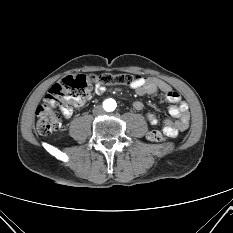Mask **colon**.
Returning a JSON list of instances; mask_svg holds the SVG:
<instances>
[{
    "label": "colon",
    "mask_w": 233,
    "mask_h": 233,
    "mask_svg": "<svg viewBox=\"0 0 233 233\" xmlns=\"http://www.w3.org/2000/svg\"><path fill=\"white\" fill-rule=\"evenodd\" d=\"M141 77L128 73L119 74H79L65 77L54 84L46 95L43 103L37 108V131L40 135H50L61 129V118L57 109L76 105L92 95L93 86L97 83L108 85H133ZM152 142H163L166 137L159 130L147 134Z\"/></svg>",
    "instance_id": "1"
}]
</instances>
